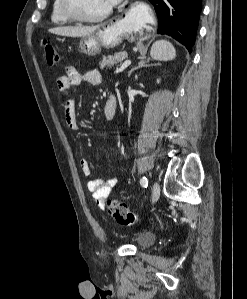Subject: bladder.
I'll return each mask as SVG.
<instances>
[{
    "label": "bladder",
    "mask_w": 247,
    "mask_h": 299,
    "mask_svg": "<svg viewBox=\"0 0 247 299\" xmlns=\"http://www.w3.org/2000/svg\"><path fill=\"white\" fill-rule=\"evenodd\" d=\"M155 239H156L155 234L149 231L138 232L132 236L133 243L138 248H142V249L151 246L154 243Z\"/></svg>",
    "instance_id": "1"
}]
</instances>
